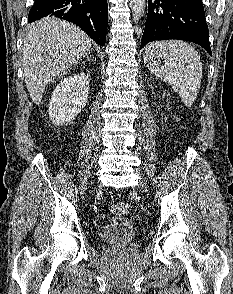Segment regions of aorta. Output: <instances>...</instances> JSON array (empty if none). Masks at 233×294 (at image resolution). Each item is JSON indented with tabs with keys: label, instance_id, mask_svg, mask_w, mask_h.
I'll return each mask as SVG.
<instances>
[{
	"label": "aorta",
	"instance_id": "aorta-1",
	"mask_svg": "<svg viewBox=\"0 0 233 294\" xmlns=\"http://www.w3.org/2000/svg\"><path fill=\"white\" fill-rule=\"evenodd\" d=\"M146 7V0H132V15L135 21L143 16Z\"/></svg>",
	"mask_w": 233,
	"mask_h": 294
}]
</instances>
